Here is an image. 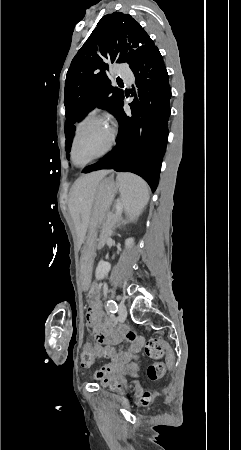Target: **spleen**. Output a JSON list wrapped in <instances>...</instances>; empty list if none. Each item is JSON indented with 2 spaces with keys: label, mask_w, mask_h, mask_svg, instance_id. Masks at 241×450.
Returning a JSON list of instances; mask_svg holds the SVG:
<instances>
[{
  "label": "spleen",
  "mask_w": 241,
  "mask_h": 450,
  "mask_svg": "<svg viewBox=\"0 0 241 450\" xmlns=\"http://www.w3.org/2000/svg\"><path fill=\"white\" fill-rule=\"evenodd\" d=\"M117 186L120 190V198L124 202V208L130 220L138 218L149 202V186L135 174H118Z\"/></svg>",
  "instance_id": "1"
}]
</instances>
